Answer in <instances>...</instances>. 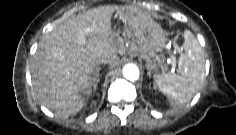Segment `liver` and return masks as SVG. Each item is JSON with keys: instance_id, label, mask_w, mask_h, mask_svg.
Returning <instances> with one entry per match:
<instances>
[{"instance_id": "liver-1", "label": "liver", "mask_w": 236, "mask_h": 135, "mask_svg": "<svg viewBox=\"0 0 236 135\" xmlns=\"http://www.w3.org/2000/svg\"><path fill=\"white\" fill-rule=\"evenodd\" d=\"M119 8L107 5L85 11L65 21L40 42L33 78L43 104L61 113L81 110L90 94L94 67L99 63L118 64L111 19ZM152 23L141 12H136L130 23L124 22L125 28L136 35ZM124 37L129 49L136 51L128 35Z\"/></svg>"}]
</instances>
